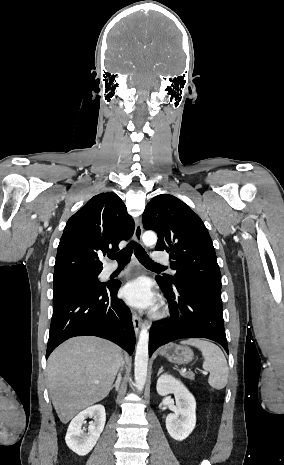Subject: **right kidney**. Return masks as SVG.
<instances>
[{
    "label": "right kidney",
    "mask_w": 284,
    "mask_h": 465,
    "mask_svg": "<svg viewBox=\"0 0 284 465\" xmlns=\"http://www.w3.org/2000/svg\"><path fill=\"white\" fill-rule=\"evenodd\" d=\"M87 417H93L94 421L90 423L88 433H84V429H81V427ZM105 421L106 413L103 405H93V407L81 411L77 417H74L68 427L65 437L66 445L81 457L88 455L95 447L105 427Z\"/></svg>",
    "instance_id": "obj_1"
}]
</instances>
